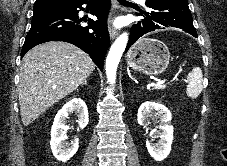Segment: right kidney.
<instances>
[{"label":"right kidney","mask_w":227,"mask_h":166,"mask_svg":"<svg viewBox=\"0 0 227 166\" xmlns=\"http://www.w3.org/2000/svg\"><path fill=\"white\" fill-rule=\"evenodd\" d=\"M71 113L78 116L77 122L80 129L85 128L89 122L87 106L80 98H73L58 111L51 128L50 146L55 158L61 162L68 161L79 147L78 138L72 140L70 144L66 143V132L69 129L66 120Z\"/></svg>","instance_id":"ca27d5eb"}]
</instances>
